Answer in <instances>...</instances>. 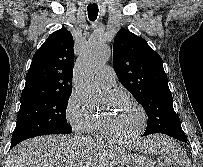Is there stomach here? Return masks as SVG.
I'll return each instance as SVG.
<instances>
[{
    "instance_id": "0dacf381",
    "label": "stomach",
    "mask_w": 203,
    "mask_h": 167,
    "mask_svg": "<svg viewBox=\"0 0 203 167\" xmlns=\"http://www.w3.org/2000/svg\"><path fill=\"white\" fill-rule=\"evenodd\" d=\"M145 152H150L146 148ZM118 167H155L154 163L143 155H128L126 159L122 160Z\"/></svg>"
}]
</instances>
